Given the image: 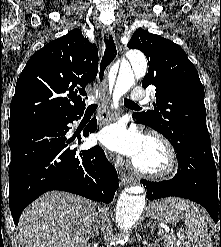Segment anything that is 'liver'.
Returning a JSON list of instances; mask_svg holds the SVG:
<instances>
[{
	"label": "liver",
	"instance_id": "liver-1",
	"mask_svg": "<svg viewBox=\"0 0 221 247\" xmlns=\"http://www.w3.org/2000/svg\"><path fill=\"white\" fill-rule=\"evenodd\" d=\"M95 210L81 196L48 192L23 211L19 240L24 247H87Z\"/></svg>",
	"mask_w": 221,
	"mask_h": 247
}]
</instances>
